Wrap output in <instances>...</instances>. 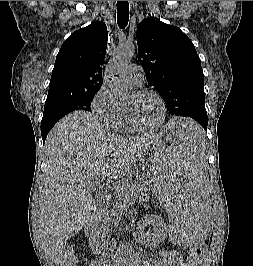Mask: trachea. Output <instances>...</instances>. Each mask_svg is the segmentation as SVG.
Segmentation results:
<instances>
[{
  "mask_svg": "<svg viewBox=\"0 0 253 266\" xmlns=\"http://www.w3.org/2000/svg\"><path fill=\"white\" fill-rule=\"evenodd\" d=\"M129 20L128 1H117V23L120 28L124 29Z\"/></svg>",
  "mask_w": 253,
  "mask_h": 266,
  "instance_id": "trachea-1",
  "label": "trachea"
}]
</instances>
